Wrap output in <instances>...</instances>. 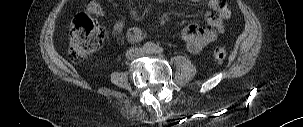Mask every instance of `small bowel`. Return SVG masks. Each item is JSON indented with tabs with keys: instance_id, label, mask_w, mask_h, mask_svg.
<instances>
[{
	"instance_id": "c3829d8e",
	"label": "small bowel",
	"mask_w": 303,
	"mask_h": 127,
	"mask_svg": "<svg viewBox=\"0 0 303 127\" xmlns=\"http://www.w3.org/2000/svg\"><path fill=\"white\" fill-rule=\"evenodd\" d=\"M87 11L97 17H102L104 15V8L97 0H92L88 3ZM229 15V9L225 7L220 0H210V11L205 14L208 27L203 28L195 24H188L183 29V37L186 42L187 50L191 53H198L207 44L214 41L219 34L223 32V21L229 17ZM123 30V22L119 21L113 25L112 31L114 34H120ZM127 38L130 42H139L144 38V32L140 27L133 26L128 29Z\"/></svg>"
}]
</instances>
